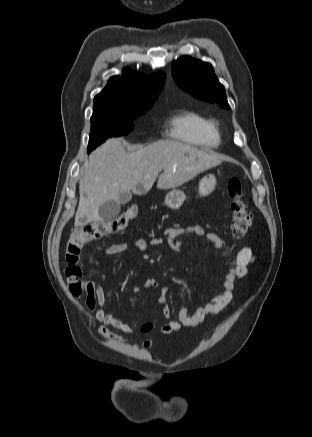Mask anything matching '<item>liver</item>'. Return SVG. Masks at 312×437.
<instances>
[{"label":"liver","mask_w":312,"mask_h":437,"mask_svg":"<svg viewBox=\"0 0 312 437\" xmlns=\"http://www.w3.org/2000/svg\"><path fill=\"white\" fill-rule=\"evenodd\" d=\"M221 162L218 154L178 141L160 140L128 153L122 138L108 139L90 154L81 170L75 226L99 220V207L109 200L118 201L122 192L147 193L161 170L157 188L170 189Z\"/></svg>","instance_id":"obj_1"}]
</instances>
